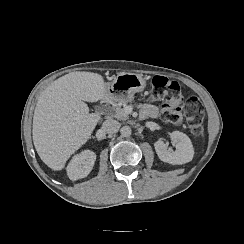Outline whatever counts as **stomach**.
I'll list each match as a JSON object with an SVG mask.
<instances>
[{
  "label": "stomach",
  "mask_w": 244,
  "mask_h": 244,
  "mask_svg": "<svg viewBox=\"0 0 244 244\" xmlns=\"http://www.w3.org/2000/svg\"><path fill=\"white\" fill-rule=\"evenodd\" d=\"M148 85L147 77L133 72H120L106 84V100L131 102L136 93Z\"/></svg>",
  "instance_id": "obj_1"
}]
</instances>
